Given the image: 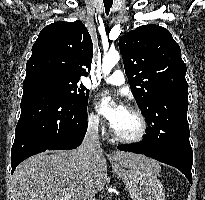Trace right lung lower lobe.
Segmentation results:
<instances>
[{"instance_id": "obj_1", "label": "right lung lower lobe", "mask_w": 205, "mask_h": 200, "mask_svg": "<svg viewBox=\"0 0 205 200\" xmlns=\"http://www.w3.org/2000/svg\"><path fill=\"white\" fill-rule=\"evenodd\" d=\"M23 89L11 149L12 173L20 162L37 153L77 148L87 130V107L69 101L48 84L23 82Z\"/></svg>"}]
</instances>
